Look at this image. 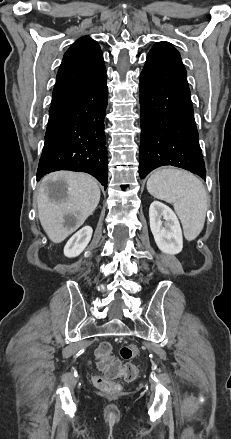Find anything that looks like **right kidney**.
<instances>
[{"mask_svg":"<svg viewBox=\"0 0 231 439\" xmlns=\"http://www.w3.org/2000/svg\"><path fill=\"white\" fill-rule=\"evenodd\" d=\"M92 233L93 229L90 226H85L76 232L66 243L64 255L68 258L80 255L90 242Z\"/></svg>","mask_w":231,"mask_h":439,"instance_id":"ca27d5eb","label":"right kidney"}]
</instances>
